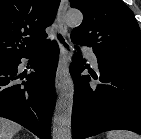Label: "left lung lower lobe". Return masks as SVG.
Wrapping results in <instances>:
<instances>
[{
    "label": "left lung lower lobe",
    "instance_id": "0a47b994",
    "mask_svg": "<svg viewBox=\"0 0 141 139\" xmlns=\"http://www.w3.org/2000/svg\"><path fill=\"white\" fill-rule=\"evenodd\" d=\"M84 61L77 53L70 66L75 84L72 138L116 129L141 134V64L97 56L102 84L95 86L89 76L80 77Z\"/></svg>",
    "mask_w": 141,
    "mask_h": 139
}]
</instances>
